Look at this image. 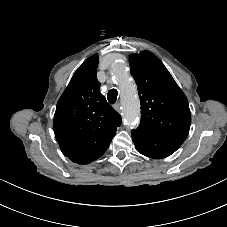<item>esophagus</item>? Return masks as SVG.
<instances>
[{"instance_id": "1", "label": "esophagus", "mask_w": 227, "mask_h": 227, "mask_svg": "<svg viewBox=\"0 0 227 227\" xmlns=\"http://www.w3.org/2000/svg\"><path fill=\"white\" fill-rule=\"evenodd\" d=\"M114 109H115L118 113H120V112H121V105H120V103L115 104V105H114Z\"/></svg>"}]
</instances>
